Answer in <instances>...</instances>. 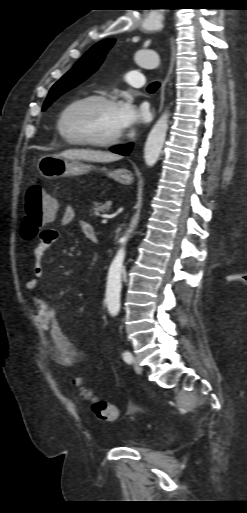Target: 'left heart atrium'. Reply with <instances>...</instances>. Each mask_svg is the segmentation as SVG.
<instances>
[{"instance_id": "39dd6f15", "label": "left heart atrium", "mask_w": 247, "mask_h": 513, "mask_svg": "<svg viewBox=\"0 0 247 513\" xmlns=\"http://www.w3.org/2000/svg\"><path fill=\"white\" fill-rule=\"evenodd\" d=\"M144 111H139L131 99L127 98L117 104V120L121 131H125L145 117Z\"/></svg>"}]
</instances>
